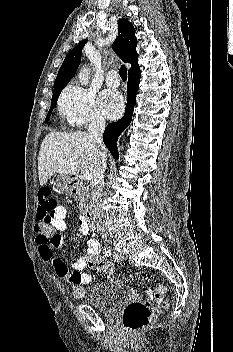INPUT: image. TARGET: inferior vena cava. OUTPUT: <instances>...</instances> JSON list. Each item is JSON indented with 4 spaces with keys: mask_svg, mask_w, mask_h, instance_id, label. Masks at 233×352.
Listing matches in <instances>:
<instances>
[{
    "mask_svg": "<svg viewBox=\"0 0 233 352\" xmlns=\"http://www.w3.org/2000/svg\"><path fill=\"white\" fill-rule=\"evenodd\" d=\"M105 129V120L99 114H94L89 125V139L99 148V159L94 172L92 199L94 220L103 239L107 238L104 228V212L102 208V187L104 184V172L106 169V156L102 152V137Z\"/></svg>",
    "mask_w": 233,
    "mask_h": 352,
    "instance_id": "inferior-vena-cava-1",
    "label": "inferior vena cava"
}]
</instances>
